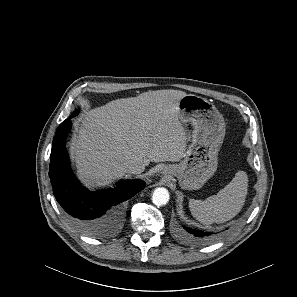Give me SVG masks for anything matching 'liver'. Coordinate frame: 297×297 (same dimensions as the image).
Wrapping results in <instances>:
<instances>
[{"label": "liver", "mask_w": 297, "mask_h": 297, "mask_svg": "<svg viewBox=\"0 0 297 297\" xmlns=\"http://www.w3.org/2000/svg\"><path fill=\"white\" fill-rule=\"evenodd\" d=\"M180 90L148 91L91 109L76 125L71 154L85 183L106 185L122 177L128 160L177 162L187 136L178 118Z\"/></svg>", "instance_id": "obj_1"}]
</instances>
